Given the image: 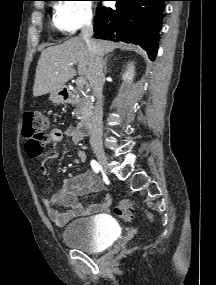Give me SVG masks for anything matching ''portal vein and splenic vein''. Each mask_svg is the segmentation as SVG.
<instances>
[{"label": "portal vein and splenic vein", "instance_id": "1", "mask_svg": "<svg viewBox=\"0 0 216 285\" xmlns=\"http://www.w3.org/2000/svg\"><path fill=\"white\" fill-rule=\"evenodd\" d=\"M73 65V64H70ZM85 84V79L84 77L80 76L77 80H76V85L79 87H82Z\"/></svg>", "mask_w": 216, "mask_h": 285}]
</instances>
